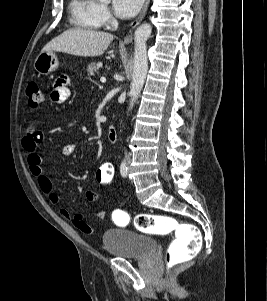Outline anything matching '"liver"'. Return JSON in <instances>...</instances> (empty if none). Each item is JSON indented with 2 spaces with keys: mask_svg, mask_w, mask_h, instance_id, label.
<instances>
[{
  "mask_svg": "<svg viewBox=\"0 0 267 301\" xmlns=\"http://www.w3.org/2000/svg\"><path fill=\"white\" fill-rule=\"evenodd\" d=\"M113 39L114 36L106 32L69 29L47 43L42 52L58 51L82 57L100 56Z\"/></svg>",
  "mask_w": 267,
  "mask_h": 301,
  "instance_id": "liver-1",
  "label": "liver"
}]
</instances>
